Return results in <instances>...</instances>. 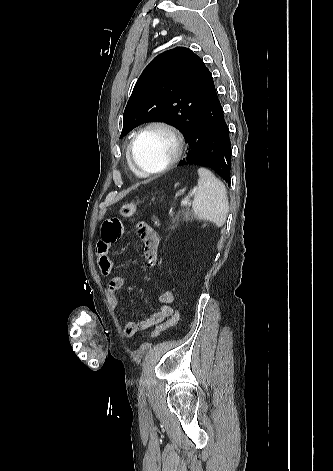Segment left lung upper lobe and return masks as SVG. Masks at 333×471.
Masks as SVG:
<instances>
[{"label": "left lung upper lobe", "mask_w": 333, "mask_h": 471, "mask_svg": "<svg viewBox=\"0 0 333 471\" xmlns=\"http://www.w3.org/2000/svg\"><path fill=\"white\" fill-rule=\"evenodd\" d=\"M213 86L212 74L190 49L177 47L159 54L134 86L120 138L145 122L165 120L187 140Z\"/></svg>", "instance_id": "1"}]
</instances>
